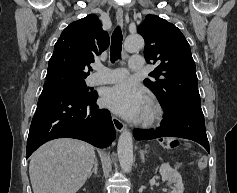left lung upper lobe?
<instances>
[{"instance_id":"1","label":"left lung upper lobe","mask_w":237,"mask_h":193,"mask_svg":"<svg viewBox=\"0 0 237 193\" xmlns=\"http://www.w3.org/2000/svg\"><path fill=\"white\" fill-rule=\"evenodd\" d=\"M145 39L144 56L156 68L144 84L157 96L161 106L176 112L185 106H201L196 67L190 45L172 23L147 15L138 27Z\"/></svg>"}]
</instances>
